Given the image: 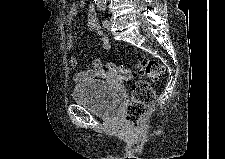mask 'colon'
Wrapping results in <instances>:
<instances>
[{
    "instance_id": "colon-1",
    "label": "colon",
    "mask_w": 225,
    "mask_h": 159,
    "mask_svg": "<svg viewBox=\"0 0 225 159\" xmlns=\"http://www.w3.org/2000/svg\"><path fill=\"white\" fill-rule=\"evenodd\" d=\"M138 70L152 81L162 78L163 68L154 59L140 56L137 58ZM107 73L114 80L129 81L133 78V72L127 68L108 63ZM155 98V92L150 82L138 80L132 87V100L125 111V121L131 126H139L149 113Z\"/></svg>"
}]
</instances>
